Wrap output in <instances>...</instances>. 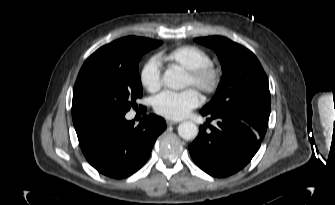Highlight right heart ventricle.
<instances>
[{
    "label": "right heart ventricle",
    "instance_id": "1",
    "mask_svg": "<svg viewBox=\"0 0 335 205\" xmlns=\"http://www.w3.org/2000/svg\"><path fill=\"white\" fill-rule=\"evenodd\" d=\"M164 59L171 64L181 66L187 71L211 62L208 52L196 45H183L177 47L165 54Z\"/></svg>",
    "mask_w": 335,
    "mask_h": 205
}]
</instances>
